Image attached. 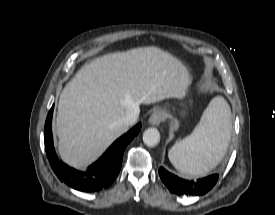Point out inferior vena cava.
Instances as JSON below:
<instances>
[{
  "instance_id": "inferior-vena-cava-1",
  "label": "inferior vena cava",
  "mask_w": 275,
  "mask_h": 215,
  "mask_svg": "<svg viewBox=\"0 0 275 215\" xmlns=\"http://www.w3.org/2000/svg\"><path fill=\"white\" fill-rule=\"evenodd\" d=\"M139 111L140 110L138 106L128 110L125 116L120 119V124L125 126H130L135 124L139 116Z\"/></svg>"
}]
</instances>
